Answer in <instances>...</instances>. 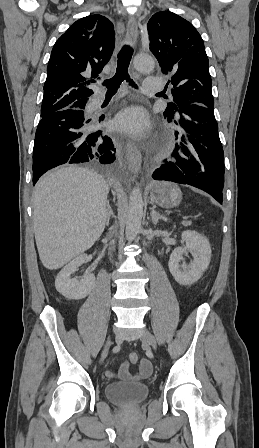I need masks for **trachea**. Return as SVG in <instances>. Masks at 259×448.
<instances>
[{
  "instance_id": "trachea-1",
  "label": "trachea",
  "mask_w": 259,
  "mask_h": 448,
  "mask_svg": "<svg viewBox=\"0 0 259 448\" xmlns=\"http://www.w3.org/2000/svg\"><path fill=\"white\" fill-rule=\"evenodd\" d=\"M133 55V48L129 45H124L119 54L117 61V69L114 77L104 80L103 86L107 88L106 95L115 94L121 85V83L126 80L134 88H138L137 85L131 80L128 74V67Z\"/></svg>"
}]
</instances>
